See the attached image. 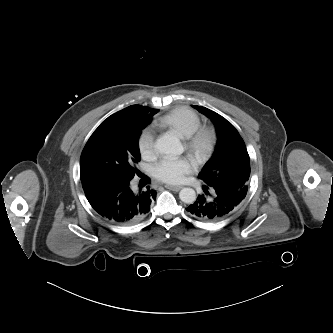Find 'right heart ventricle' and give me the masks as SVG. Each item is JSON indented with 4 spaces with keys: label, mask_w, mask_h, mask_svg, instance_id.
<instances>
[{
    "label": "right heart ventricle",
    "mask_w": 333,
    "mask_h": 333,
    "mask_svg": "<svg viewBox=\"0 0 333 333\" xmlns=\"http://www.w3.org/2000/svg\"><path fill=\"white\" fill-rule=\"evenodd\" d=\"M157 126L174 131L181 138H187L201 126V119L193 110L180 107L162 116Z\"/></svg>",
    "instance_id": "1"
}]
</instances>
